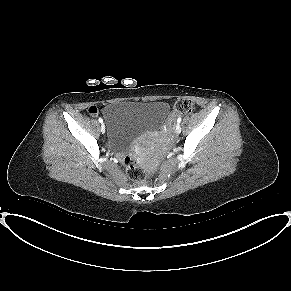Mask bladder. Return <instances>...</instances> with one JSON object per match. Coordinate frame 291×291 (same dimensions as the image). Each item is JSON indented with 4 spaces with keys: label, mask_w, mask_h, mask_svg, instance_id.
I'll list each match as a JSON object with an SVG mask.
<instances>
[{
    "label": "bladder",
    "mask_w": 291,
    "mask_h": 291,
    "mask_svg": "<svg viewBox=\"0 0 291 291\" xmlns=\"http://www.w3.org/2000/svg\"><path fill=\"white\" fill-rule=\"evenodd\" d=\"M169 112L164 101L111 102L103 111L108 140L114 147L125 148L141 134L159 129Z\"/></svg>",
    "instance_id": "1"
}]
</instances>
